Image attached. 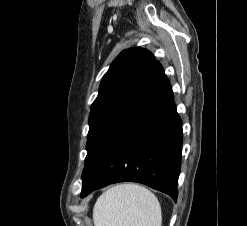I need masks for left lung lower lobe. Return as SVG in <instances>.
I'll list each match as a JSON object with an SVG mask.
<instances>
[{"label":"left lung lower lobe","instance_id":"left-lung-lower-lobe-1","mask_svg":"<svg viewBox=\"0 0 247 226\" xmlns=\"http://www.w3.org/2000/svg\"><path fill=\"white\" fill-rule=\"evenodd\" d=\"M181 149L182 122L171 85L155 61L87 153L81 197L112 183L132 181L176 201Z\"/></svg>","mask_w":247,"mask_h":226}]
</instances>
